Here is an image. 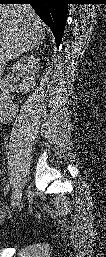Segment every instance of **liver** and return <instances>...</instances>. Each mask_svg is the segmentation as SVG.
<instances>
[{
    "label": "liver",
    "instance_id": "1",
    "mask_svg": "<svg viewBox=\"0 0 106 257\" xmlns=\"http://www.w3.org/2000/svg\"><path fill=\"white\" fill-rule=\"evenodd\" d=\"M46 26L30 5L0 7V61L5 63L38 47L45 39Z\"/></svg>",
    "mask_w": 106,
    "mask_h": 257
}]
</instances>
